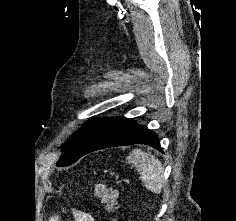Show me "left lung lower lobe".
Wrapping results in <instances>:
<instances>
[{
    "instance_id": "1",
    "label": "left lung lower lobe",
    "mask_w": 236,
    "mask_h": 221,
    "mask_svg": "<svg viewBox=\"0 0 236 221\" xmlns=\"http://www.w3.org/2000/svg\"><path fill=\"white\" fill-rule=\"evenodd\" d=\"M132 144H147L162 151L157 134L146 126L124 117L106 118L90 142L81 150L77 160L95 150Z\"/></svg>"
}]
</instances>
